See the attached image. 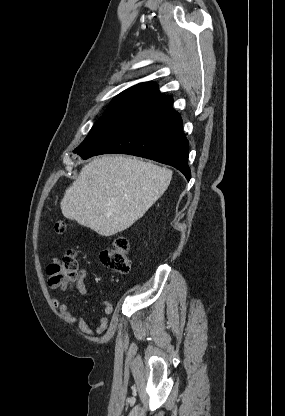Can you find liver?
Returning <instances> with one entry per match:
<instances>
[{"label":"liver","instance_id":"6515ba94","mask_svg":"<svg viewBox=\"0 0 285 416\" xmlns=\"http://www.w3.org/2000/svg\"><path fill=\"white\" fill-rule=\"evenodd\" d=\"M171 170L125 156H103L82 168L60 202L63 216L114 236L130 228L166 192Z\"/></svg>","mask_w":285,"mask_h":416}]
</instances>
